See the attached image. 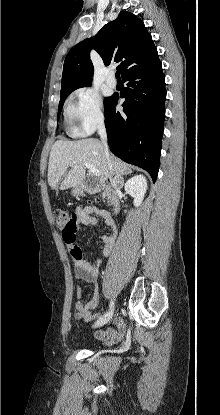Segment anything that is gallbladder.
<instances>
[{
  "label": "gallbladder",
  "instance_id": "obj_1",
  "mask_svg": "<svg viewBox=\"0 0 220 415\" xmlns=\"http://www.w3.org/2000/svg\"><path fill=\"white\" fill-rule=\"evenodd\" d=\"M87 185H90V183L87 181Z\"/></svg>",
  "mask_w": 220,
  "mask_h": 415
}]
</instances>
